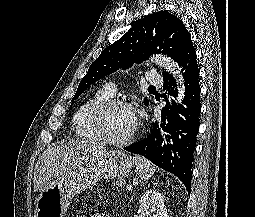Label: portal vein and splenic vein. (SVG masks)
I'll return each mask as SVG.
<instances>
[{
	"label": "portal vein and splenic vein",
	"instance_id": "obj_1",
	"mask_svg": "<svg viewBox=\"0 0 255 217\" xmlns=\"http://www.w3.org/2000/svg\"><path fill=\"white\" fill-rule=\"evenodd\" d=\"M127 189H128V190H131V189H132V186H131V185H127Z\"/></svg>",
	"mask_w": 255,
	"mask_h": 217
}]
</instances>
